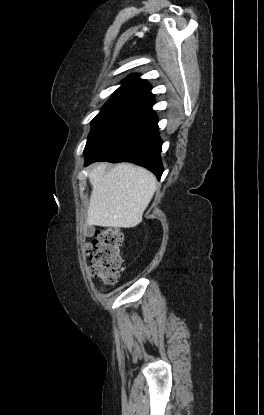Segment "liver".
I'll use <instances>...</instances> for the list:
<instances>
[{
  "label": "liver",
  "mask_w": 264,
  "mask_h": 415,
  "mask_svg": "<svg viewBox=\"0 0 264 415\" xmlns=\"http://www.w3.org/2000/svg\"><path fill=\"white\" fill-rule=\"evenodd\" d=\"M95 165L89 173L92 192L86 223L89 226L133 228L143 217L156 190V177L147 169L121 163L107 171Z\"/></svg>",
  "instance_id": "1"
}]
</instances>
